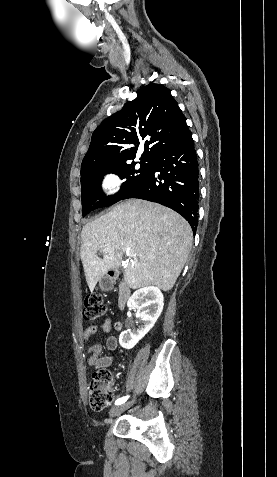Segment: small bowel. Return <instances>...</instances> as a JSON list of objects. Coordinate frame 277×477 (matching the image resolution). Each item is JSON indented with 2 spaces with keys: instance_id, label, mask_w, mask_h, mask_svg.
Instances as JSON below:
<instances>
[{
  "instance_id": "small-bowel-1",
  "label": "small bowel",
  "mask_w": 277,
  "mask_h": 477,
  "mask_svg": "<svg viewBox=\"0 0 277 477\" xmlns=\"http://www.w3.org/2000/svg\"><path fill=\"white\" fill-rule=\"evenodd\" d=\"M122 323L121 322H112L110 318H106L102 329L106 334H109L111 330H115L117 332L122 330ZM97 327L91 326L84 330L83 332V339L89 343L88 347V364L93 370L99 371L109 367L113 362V357L109 355H102L103 346L99 343H92L91 337L96 333ZM105 346L109 351H115L118 348V339L114 335H109L106 338Z\"/></svg>"
}]
</instances>
